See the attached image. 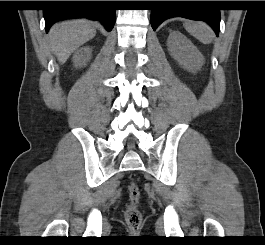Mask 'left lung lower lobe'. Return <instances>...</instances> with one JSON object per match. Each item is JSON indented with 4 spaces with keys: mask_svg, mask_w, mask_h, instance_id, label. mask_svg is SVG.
<instances>
[{
    "mask_svg": "<svg viewBox=\"0 0 265 245\" xmlns=\"http://www.w3.org/2000/svg\"><path fill=\"white\" fill-rule=\"evenodd\" d=\"M162 7L151 10V25L153 30L166 19L183 17L201 20L208 23L216 35L220 29V10L212 8V1H163ZM194 6H208V8H194Z\"/></svg>",
    "mask_w": 265,
    "mask_h": 245,
    "instance_id": "left-lung-lower-lobe-1",
    "label": "left lung lower lobe"
}]
</instances>
